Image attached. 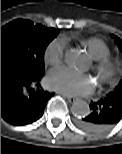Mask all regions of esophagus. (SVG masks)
Masks as SVG:
<instances>
[{"instance_id":"34e87169","label":"esophagus","mask_w":122,"mask_h":154,"mask_svg":"<svg viewBox=\"0 0 122 154\" xmlns=\"http://www.w3.org/2000/svg\"><path fill=\"white\" fill-rule=\"evenodd\" d=\"M58 94H60L63 97L67 98V100H68L69 103H74L77 100V98H74V97H71V96H67V95H64L62 93H58Z\"/></svg>"}]
</instances>
